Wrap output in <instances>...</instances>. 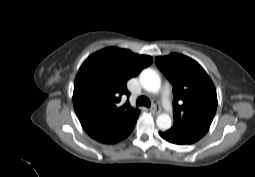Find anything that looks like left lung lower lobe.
I'll return each instance as SVG.
<instances>
[{"instance_id": "0a47b994", "label": "left lung lower lobe", "mask_w": 255, "mask_h": 177, "mask_svg": "<svg viewBox=\"0 0 255 177\" xmlns=\"http://www.w3.org/2000/svg\"><path fill=\"white\" fill-rule=\"evenodd\" d=\"M159 135L165 139L166 141L173 143V144H179V145H183V144H192L194 142L190 141L189 139L180 136L178 134L173 133L172 131L168 130L165 132H159Z\"/></svg>"}]
</instances>
